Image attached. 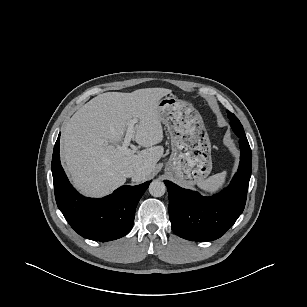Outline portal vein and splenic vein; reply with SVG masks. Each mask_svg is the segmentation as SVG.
<instances>
[{
  "mask_svg": "<svg viewBox=\"0 0 307 307\" xmlns=\"http://www.w3.org/2000/svg\"><path fill=\"white\" fill-rule=\"evenodd\" d=\"M135 123H137V120L134 119L128 124V128L126 131L124 141L122 145L117 146L118 149L124 154H134L135 153V150H131L128 148V146L130 145L131 139L134 136V124Z\"/></svg>",
  "mask_w": 307,
  "mask_h": 307,
  "instance_id": "1",
  "label": "portal vein and splenic vein"
}]
</instances>
